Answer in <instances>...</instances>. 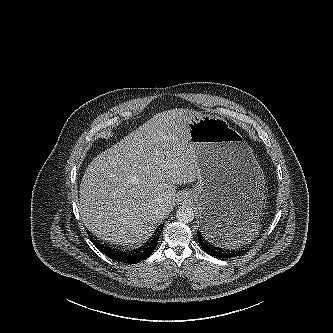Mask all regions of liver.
<instances>
[{
  "mask_svg": "<svg viewBox=\"0 0 333 333\" xmlns=\"http://www.w3.org/2000/svg\"><path fill=\"white\" fill-rule=\"evenodd\" d=\"M189 121L184 109L158 113L93 158L78 205L93 235L117 246L140 243L171 212L177 185L198 179Z\"/></svg>",
  "mask_w": 333,
  "mask_h": 333,
  "instance_id": "obj_1",
  "label": "liver"
}]
</instances>
